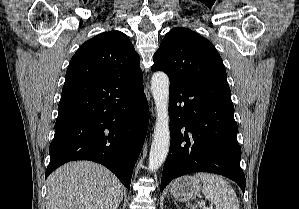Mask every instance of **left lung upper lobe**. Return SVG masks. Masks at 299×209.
<instances>
[{
  "mask_svg": "<svg viewBox=\"0 0 299 209\" xmlns=\"http://www.w3.org/2000/svg\"><path fill=\"white\" fill-rule=\"evenodd\" d=\"M153 71H164L170 82H209L225 86L226 70L214 45L183 27L172 29L154 54Z\"/></svg>",
  "mask_w": 299,
  "mask_h": 209,
  "instance_id": "1",
  "label": "left lung upper lobe"
}]
</instances>
